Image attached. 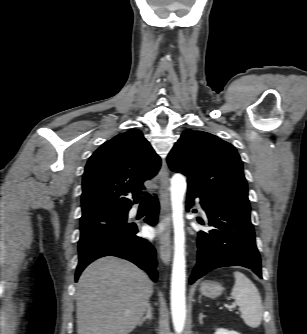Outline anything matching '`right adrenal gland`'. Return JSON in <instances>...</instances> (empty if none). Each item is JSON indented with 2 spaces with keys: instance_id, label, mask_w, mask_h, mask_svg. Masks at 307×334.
Here are the masks:
<instances>
[{
  "instance_id": "obj_1",
  "label": "right adrenal gland",
  "mask_w": 307,
  "mask_h": 334,
  "mask_svg": "<svg viewBox=\"0 0 307 334\" xmlns=\"http://www.w3.org/2000/svg\"><path fill=\"white\" fill-rule=\"evenodd\" d=\"M153 318V309L150 304H148L147 309H146V315L141 319L139 322V325H142L144 321L147 319L152 320Z\"/></svg>"
}]
</instances>
